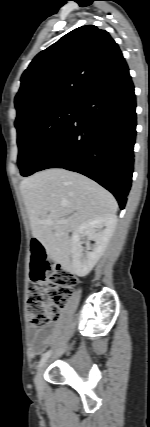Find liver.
Segmentation results:
<instances>
[{
  "label": "liver",
  "mask_w": 150,
  "mask_h": 427,
  "mask_svg": "<svg viewBox=\"0 0 150 427\" xmlns=\"http://www.w3.org/2000/svg\"><path fill=\"white\" fill-rule=\"evenodd\" d=\"M20 189L33 237L65 267L70 266L69 233L88 220L115 215L118 209L110 192L93 180L62 168L37 172L23 179ZM47 219L53 225L43 223ZM59 221L65 223L58 224Z\"/></svg>",
  "instance_id": "1"
}]
</instances>
